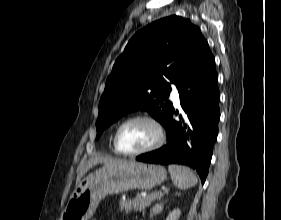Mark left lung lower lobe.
Masks as SVG:
<instances>
[{
    "label": "left lung lower lobe",
    "mask_w": 281,
    "mask_h": 220,
    "mask_svg": "<svg viewBox=\"0 0 281 220\" xmlns=\"http://www.w3.org/2000/svg\"><path fill=\"white\" fill-rule=\"evenodd\" d=\"M178 87L185 120H174V108L164 127L167 144L150 153L142 154L137 161L192 167L205 182L218 135L220 119L218 74L215 58L210 49L191 65ZM178 112L176 111V114Z\"/></svg>",
    "instance_id": "1"
}]
</instances>
